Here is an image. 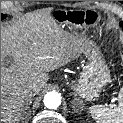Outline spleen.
Returning <instances> with one entry per match:
<instances>
[{
  "mask_svg": "<svg viewBox=\"0 0 123 123\" xmlns=\"http://www.w3.org/2000/svg\"><path fill=\"white\" fill-rule=\"evenodd\" d=\"M119 105L113 109L103 105H93L89 111L96 123H123V87L118 94Z\"/></svg>",
  "mask_w": 123,
  "mask_h": 123,
  "instance_id": "obj_1",
  "label": "spleen"
}]
</instances>
